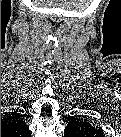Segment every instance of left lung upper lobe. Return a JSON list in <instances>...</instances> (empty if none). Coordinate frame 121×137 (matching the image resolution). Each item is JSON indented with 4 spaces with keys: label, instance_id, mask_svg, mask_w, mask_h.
I'll return each instance as SVG.
<instances>
[{
    "label": "left lung upper lobe",
    "instance_id": "5c2ea615",
    "mask_svg": "<svg viewBox=\"0 0 121 137\" xmlns=\"http://www.w3.org/2000/svg\"><path fill=\"white\" fill-rule=\"evenodd\" d=\"M67 131L70 133L81 131V130H87V131H96L89 123L82 121L80 119H73L69 121L67 126Z\"/></svg>",
    "mask_w": 121,
    "mask_h": 137
}]
</instances>
